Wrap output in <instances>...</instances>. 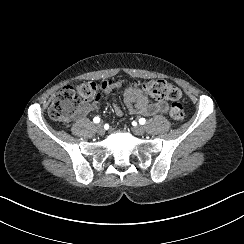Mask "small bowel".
Masks as SVG:
<instances>
[{"mask_svg":"<svg viewBox=\"0 0 244 244\" xmlns=\"http://www.w3.org/2000/svg\"><path fill=\"white\" fill-rule=\"evenodd\" d=\"M123 86L121 81H105L101 84V88L105 95L111 94L114 90H119ZM124 104L131 113L150 116L155 114H164L168 111L169 105L165 101L153 102L150 98L139 90L127 88L122 92ZM100 107L99 101L83 103L76 110L75 117L83 118L91 112L98 110ZM113 111L117 116H122L123 111L117 105L113 104Z\"/></svg>","mask_w":244,"mask_h":244,"instance_id":"c3829d8e","label":"small bowel"}]
</instances>
